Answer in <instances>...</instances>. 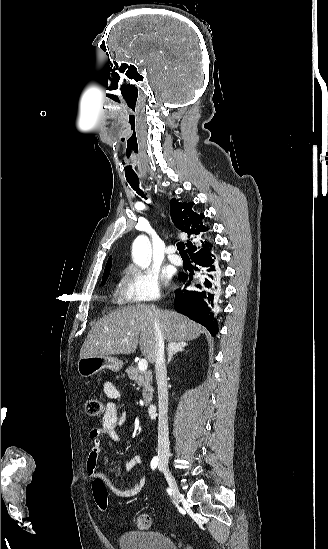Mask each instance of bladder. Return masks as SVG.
Segmentation results:
<instances>
[{"label": "bladder", "mask_w": 328, "mask_h": 549, "mask_svg": "<svg viewBox=\"0 0 328 549\" xmlns=\"http://www.w3.org/2000/svg\"><path fill=\"white\" fill-rule=\"evenodd\" d=\"M119 543L121 549H176L171 539L156 531L122 533Z\"/></svg>", "instance_id": "obj_1"}]
</instances>
